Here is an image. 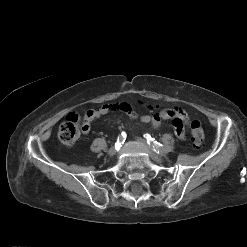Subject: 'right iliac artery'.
<instances>
[{"label":"right iliac artery","mask_w":247,"mask_h":247,"mask_svg":"<svg viewBox=\"0 0 247 247\" xmlns=\"http://www.w3.org/2000/svg\"><path fill=\"white\" fill-rule=\"evenodd\" d=\"M125 139H126V134H125V132H122L118 136L117 141L115 143L116 148L121 147V145L125 142Z\"/></svg>","instance_id":"82829eb1"}]
</instances>
